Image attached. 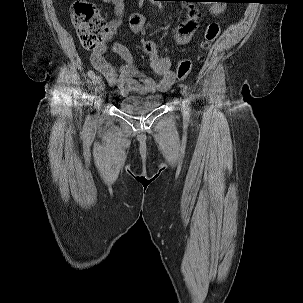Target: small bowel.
Returning a JSON list of instances; mask_svg holds the SVG:
<instances>
[{
	"label": "small bowel",
	"mask_w": 303,
	"mask_h": 303,
	"mask_svg": "<svg viewBox=\"0 0 303 303\" xmlns=\"http://www.w3.org/2000/svg\"><path fill=\"white\" fill-rule=\"evenodd\" d=\"M104 4L113 6L114 17L109 22V33L113 34L122 24L126 2L125 0H101ZM208 13L212 17H216L224 12L225 5L221 0L211 1ZM186 20L182 22L176 29L175 40L178 45L187 44L193 37L198 27L199 13L193 4L186 5ZM130 29L135 34H143L145 26V18L138 12L131 14L129 18ZM107 48L104 43L94 49L90 56V61L94 69L100 72L111 86L120 90L122 94L130 91H138L144 94L154 93L157 91H167L171 88L175 81V74L170 68V60L168 57L160 55L158 44L152 40H143L142 48L148 56L150 69L161 79L157 82L152 78L146 77L133 63L131 53L122 46H114L113 49L120 58L122 64L115 66L106 61L103 53Z\"/></svg>",
	"instance_id": "obj_1"
}]
</instances>
